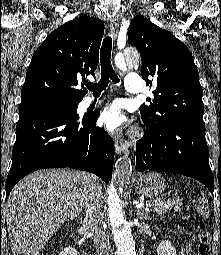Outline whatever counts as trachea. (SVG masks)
I'll return each instance as SVG.
<instances>
[{
    "label": "trachea",
    "mask_w": 221,
    "mask_h": 255,
    "mask_svg": "<svg viewBox=\"0 0 221 255\" xmlns=\"http://www.w3.org/2000/svg\"><path fill=\"white\" fill-rule=\"evenodd\" d=\"M111 50L112 38L108 36L103 40L100 52L101 79L97 84H86V87L94 94L101 93L104 89H106L110 80L114 83H119L120 81L111 65Z\"/></svg>",
    "instance_id": "1"
}]
</instances>
